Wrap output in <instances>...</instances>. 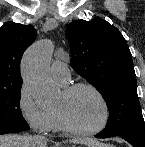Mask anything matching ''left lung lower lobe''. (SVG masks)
<instances>
[{"mask_svg": "<svg viewBox=\"0 0 145 147\" xmlns=\"http://www.w3.org/2000/svg\"><path fill=\"white\" fill-rule=\"evenodd\" d=\"M117 136L128 141L133 147H145V137L135 136V135H117ZM95 137L108 138L113 136L100 132L99 134L95 135Z\"/></svg>", "mask_w": 145, "mask_h": 147, "instance_id": "left-lung-lower-lobe-1", "label": "left lung lower lobe"}]
</instances>
